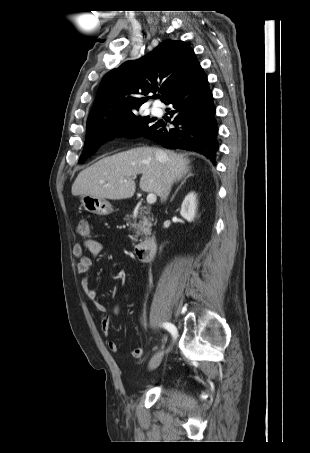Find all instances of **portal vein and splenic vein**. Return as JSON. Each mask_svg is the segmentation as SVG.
Segmentation results:
<instances>
[{
	"label": "portal vein and splenic vein",
	"mask_w": 310,
	"mask_h": 453,
	"mask_svg": "<svg viewBox=\"0 0 310 453\" xmlns=\"http://www.w3.org/2000/svg\"><path fill=\"white\" fill-rule=\"evenodd\" d=\"M127 180H124L126 182ZM156 202V195L154 193H149L147 195V203L148 204H154Z\"/></svg>",
	"instance_id": "18ae733b"
}]
</instances>
